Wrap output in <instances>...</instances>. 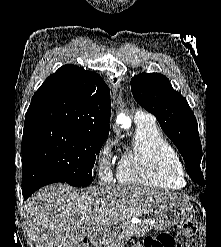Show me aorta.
<instances>
[{
  "mask_svg": "<svg viewBox=\"0 0 221 247\" xmlns=\"http://www.w3.org/2000/svg\"><path fill=\"white\" fill-rule=\"evenodd\" d=\"M118 120H119L120 122H124V121L127 120V118H126V116H125L124 114H120V115L118 116Z\"/></svg>",
  "mask_w": 221,
  "mask_h": 247,
  "instance_id": "obj_1",
  "label": "aorta"
}]
</instances>
